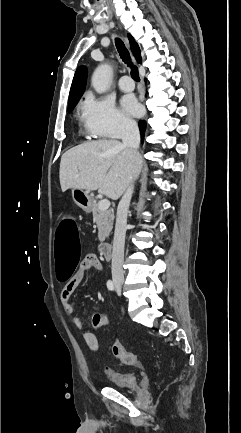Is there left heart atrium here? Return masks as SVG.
<instances>
[{
  "mask_svg": "<svg viewBox=\"0 0 241 433\" xmlns=\"http://www.w3.org/2000/svg\"><path fill=\"white\" fill-rule=\"evenodd\" d=\"M121 106L125 112L131 115H137L140 111L138 102L132 96H124L121 100Z\"/></svg>",
  "mask_w": 241,
  "mask_h": 433,
  "instance_id": "obj_1",
  "label": "left heart atrium"
}]
</instances>
